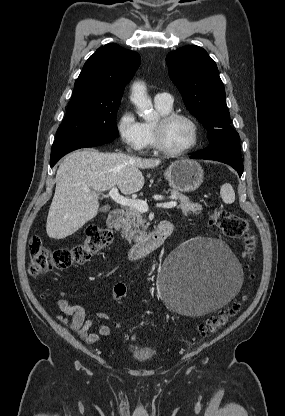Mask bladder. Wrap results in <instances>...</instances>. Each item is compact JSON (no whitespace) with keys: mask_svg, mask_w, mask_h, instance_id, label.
<instances>
[{"mask_svg":"<svg viewBox=\"0 0 285 416\" xmlns=\"http://www.w3.org/2000/svg\"><path fill=\"white\" fill-rule=\"evenodd\" d=\"M136 358L139 360H148L154 358V354L152 353V350L144 351L140 350L138 353H135Z\"/></svg>","mask_w":285,"mask_h":416,"instance_id":"1","label":"bladder"}]
</instances>
